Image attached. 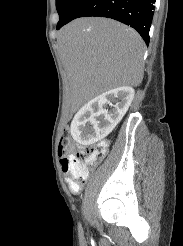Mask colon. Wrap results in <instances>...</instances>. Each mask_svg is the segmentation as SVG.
<instances>
[{
	"label": "colon",
	"mask_w": 183,
	"mask_h": 246,
	"mask_svg": "<svg viewBox=\"0 0 183 246\" xmlns=\"http://www.w3.org/2000/svg\"><path fill=\"white\" fill-rule=\"evenodd\" d=\"M107 150V143L101 141L86 149L74 151L70 130L64 128L58 145L62 170L68 174L70 186L78 191L88 174V167L101 160Z\"/></svg>",
	"instance_id": "5ec220e1"
}]
</instances>
